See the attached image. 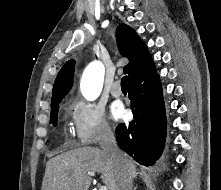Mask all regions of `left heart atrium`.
I'll list each match as a JSON object with an SVG mask.
<instances>
[{"label":"left heart atrium","mask_w":221,"mask_h":190,"mask_svg":"<svg viewBox=\"0 0 221 190\" xmlns=\"http://www.w3.org/2000/svg\"><path fill=\"white\" fill-rule=\"evenodd\" d=\"M111 115L114 119L124 118L126 115V111L120 102H114L111 105Z\"/></svg>","instance_id":"obj_1"}]
</instances>
